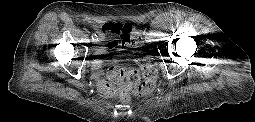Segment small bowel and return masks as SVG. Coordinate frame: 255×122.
Instances as JSON below:
<instances>
[{
  "label": "small bowel",
  "instance_id": "1",
  "mask_svg": "<svg viewBox=\"0 0 255 122\" xmlns=\"http://www.w3.org/2000/svg\"><path fill=\"white\" fill-rule=\"evenodd\" d=\"M100 40H104L106 38V34L105 32L99 31L98 32V36H97ZM128 45V39L124 36V35H118L117 38L109 41L106 46L101 50V53H107L110 50H115L118 49L119 47L122 46H127ZM102 62L100 60H96L93 62L92 64V69L98 73L100 67H101ZM102 82V81H101ZM100 82V83H101ZM99 83V85H100Z\"/></svg>",
  "mask_w": 255,
  "mask_h": 122
}]
</instances>
